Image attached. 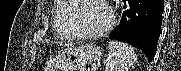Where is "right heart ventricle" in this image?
<instances>
[{"label":"right heart ventricle","mask_w":181,"mask_h":71,"mask_svg":"<svg viewBox=\"0 0 181 71\" xmlns=\"http://www.w3.org/2000/svg\"><path fill=\"white\" fill-rule=\"evenodd\" d=\"M72 5L63 0H57L54 7V31L63 39H76L70 25Z\"/></svg>","instance_id":"1"}]
</instances>
